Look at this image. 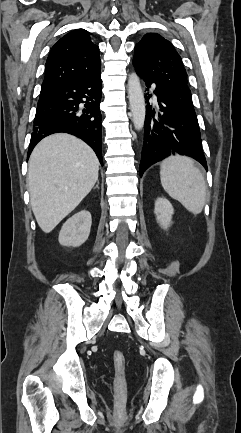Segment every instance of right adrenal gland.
I'll use <instances>...</instances> for the list:
<instances>
[{
	"label": "right adrenal gland",
	"instance_id": "obj_1",
	"mask_svg": "<svg viewBox=\"0 0 241 433\" xmlns=\"http://www.w3.org/2000/svg\"><path fill=\"white\" fill-rule=\"evenodd\" d=\"M95 188L99 189V181H97V185L95 186Z\"/></svg>",
	"mask_w": 241,
	"mask_h": 433
}]
</instances>
